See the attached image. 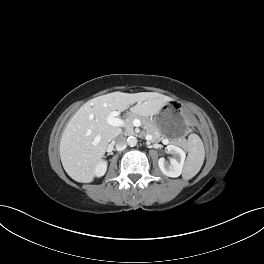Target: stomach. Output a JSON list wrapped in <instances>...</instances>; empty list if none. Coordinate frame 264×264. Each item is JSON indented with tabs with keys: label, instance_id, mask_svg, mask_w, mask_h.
<instances>
[{
	"label": "stomach",
	"instance_id": "stomach-1",
	"mask_svg": "<svg viewBox=\"0 0 264 264\" xmlns=\"http://www.w3.org/2000/svg\"><path fill=\"white\" fill-rule=\"evenodd\" d=\"M181 112V102L171 100L162 107L161 112L154 118V124L162 134L176 138L187 129V120L181 115Z\"/></svg>",
	"mask_w": 264,
	"mask_h": 264
}]
</instances>
